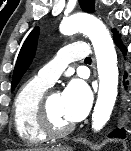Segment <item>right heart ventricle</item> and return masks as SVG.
Returning <instances> with one entry per match:
<instances>
[{
	"instance_id": "e07e8e85",
	"label": "right heart ventricle",
	"mask_w": 131,
	"mask_h": 151,
	"mask_svg": "<svg viewBox=\"0 0 131 151\" xmlns=\"http://www.w3.org/2000/svg\"><path fill=\"white\" fill-rule=\"evenodd\" d=\"M49 85L37 77L27 81L19 89L13 107L14 127L18 136L25 142L37 144L45 141L37 120L38 103Z\"/></svg>"
}]
</instances>
